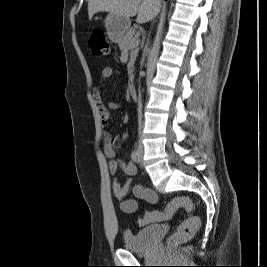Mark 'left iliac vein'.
Wrapping results in <instances>:
<instances>
[{
    "instance_id": "4c4485c4",
    "label": "left iliac vein",
    "mask_w": 267,
    "mask_h": 267,
    "mask_svg": "<svg viewBox=\"0 0 267 267\" xmlns=\"http://www.w3.org/2000/svg\"><path fill=\"white\" fill-rule=\"evenodd\" d=\"M140 164L142 165V155L139 156Z\"/></svg>"
}]
</instances>
